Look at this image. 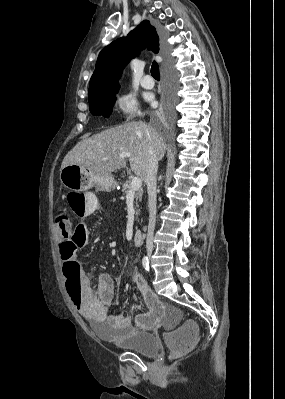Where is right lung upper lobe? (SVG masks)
<instances>
[{
  "label": "right lung upper lobe",
  "mask_w": 285,
  "mask_h": 399,
  "mask_svg": "<svg viewBox=\"0 0 285 399\" xmlns=\"http://www.w3.org/2000/svg\"><path fill=\"white\" fill-rule=\"evenodd\" d=\"M146 47L155 53L159 51V36L148 20L142 21L127 37L119 38L102 49L90 79L89 99L118 92V81L124 66Z\"/></svg>",
  "instance_id": "1"
}]
</instances>
